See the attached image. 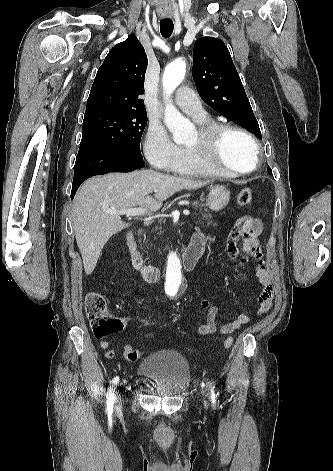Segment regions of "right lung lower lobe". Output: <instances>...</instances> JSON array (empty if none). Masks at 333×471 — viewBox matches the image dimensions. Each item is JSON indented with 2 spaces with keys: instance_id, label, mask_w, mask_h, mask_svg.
Here are the masks:
<instances>
[{
  "instance_id": "obj_1",
  "label": "right lung lower lobe",
  "mask_w": 333,
  "mask_h": 471,
  "mask_svg": "<svg viewBox=\"0 0 333 471\" xmlns=\"http://www.w3.org/2000/svg\"><path fill=\"white\" fill-rule=\"evenodd\" d=\"M145 166L142 157L118 149L97 147L79 149L74 166L71 199L86 179L110 172H131Z\"/></svg>"
}]
</instances>
